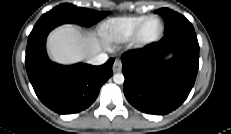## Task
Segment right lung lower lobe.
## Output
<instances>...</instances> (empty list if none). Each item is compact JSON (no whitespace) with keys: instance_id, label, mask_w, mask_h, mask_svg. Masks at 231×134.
Wrapping results in <instances>:
<instances>
[{"instance_id":"98d812e1","label":"right lung lower lobe","mask_w":231,"mask_h":134,"mask_svg":"<svg viewBox=\"0 0 231 134\" xmlns=\"http://www.w3.org/2000/svg\"><path fill=\"white\" fill-rule=\"evenodd\" d=\"M61 21L36 24L28 38L25 65L29 80L41 102L60 114H72L88 108L101 86L112 75L114 59L102 66L75 64L62 66L49 60L45 42Z\"/></svg>"}]
</instances>
